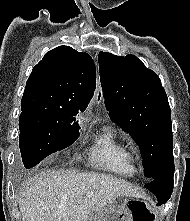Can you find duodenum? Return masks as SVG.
Segmentation results:
<instances>
[{"mask_svg":"<svg viewBox=\"0 0 190 221\" xmlns=\"http://www.w3.org/2000/svg\"><path fill=\"white\" fill-rule=\"evenodd\" d=\"M85 221H92L91 219H86Z\"/></svg>","mask_w":190,"mask_h":221,"instance_id":"duodenum-1","label":"duodenum"}]
</instances>
